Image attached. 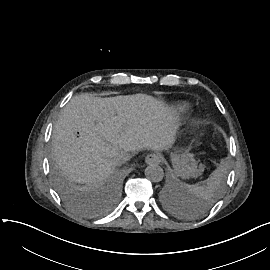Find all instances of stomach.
I'll return each instance as SVG.
<instances>
[{
  "mask_svg": "<svg viewBox=\"0 0 270 270\" xmlns=\"http://www.w3.org/2000/svg\"><path fill=\"white\" fill-rule=\"evenodd\" d=\"M172 161L176 174L183 178H188L190 176L197 177L203 172L204 166L200 165L197 169V161L191 153L185 152L182 155L173 154Z\"/></svg>",
  "mask_w": 270,
  "mask_h": 270,
  "instance_id": "obj_1",
  "label": "stomach"
}]
</instances>
